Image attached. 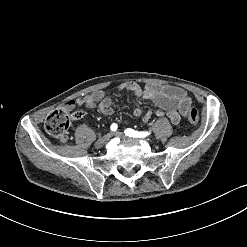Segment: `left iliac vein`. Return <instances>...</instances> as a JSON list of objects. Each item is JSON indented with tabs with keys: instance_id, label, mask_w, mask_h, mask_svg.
I'll return each mask as SVG.
<instances>
[{
	"instance_id": "4c4485c4",
	"label": "left iliac vein",
	"mask_w": 247,
	"mask_h": 247,
	"mask_svg": "<svg viewBox=\"0 0 247 247\" xmlns=\"http://www.w3.org/2000/svg\"><path fill=\"white\" fill-rule=\"evenodd\" d=\"M113 135L114 136H118V137H120V138H122L124 140L137 141V139H135V138H128V137H126L122 132H119V131L113 133Z\"/></svg>"
}]
</instances>
